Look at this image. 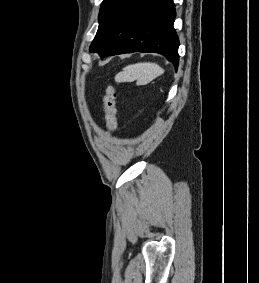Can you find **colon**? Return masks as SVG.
<instances>
[{"label": "colon", "mask_w": 259, "mask_h": 283, "mask_svg": "<svg viewBox=\"0 0 259 283\" xmlns=\"http://www.w3.org/2000/svg\"><path fill=\"white\" fill-rule=\"evenodd\" d=\"M117 93L112 85L105 88L104 109H105V127L107 132L112 131L117 126Z\"/></svg>", "instance_id": "colon-1"}]
</instances>
